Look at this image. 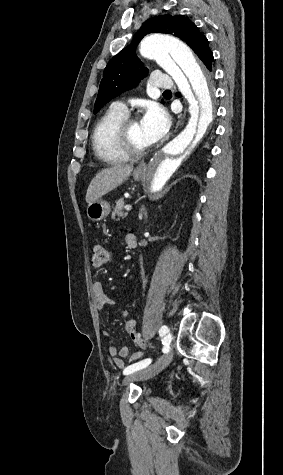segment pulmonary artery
Returning <instances> with one entry per match:
<instances>
[{
	"label": "pulmonary artery",
	"mask_w": 283,
	"mask_h": 475,
	"mask_svg": "<svg viewBox=\"0 0 283 475\" xmlns=\"http://www.w3.org/2000/svg\"><path fill=\"white\" fill-rule=\"evenodd\" d=\"M156 87L157 89H172L173 81L172 80H157ZM114 104L118 107L126 109L125 104L122 102H115Z\"/></svg>",
	"instance_id": "pulmonary-artery-1"
}]
</instances>
